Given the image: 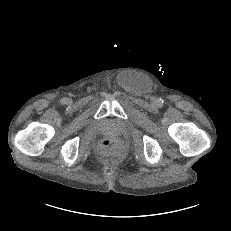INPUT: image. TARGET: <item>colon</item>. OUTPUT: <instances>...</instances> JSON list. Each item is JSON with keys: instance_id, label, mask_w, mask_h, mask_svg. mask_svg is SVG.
Returning <instances> with one entry per match:
<instances>
[{"instance_id": "5ec220e1", "label": "colon", "mask_w": 231, "mask_h": 231, "mask_svg": "<svg viewBox=\"0 0 231 231\" xmlns=\"http://www.w3.org/2000/svg\"><path fill=\"white\" fill-rule=\"evenodd\" d=\"M100 150L104 155H113L117 152V144L113 139H105L101 143Z\"/></svg>"}]
</instances>
